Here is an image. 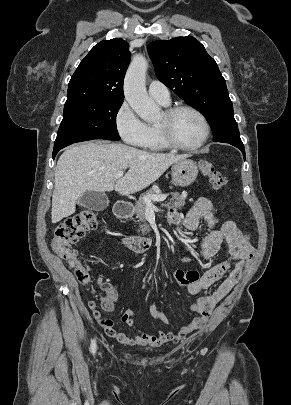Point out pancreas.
<instances>
[{
  "instance_id": "cf45deb5",
  "label": "pancreas",
  "mask_w": 291,
  "mask_h": 405,
  "mask_svg": "<svg viewBox=\"0 0 291 405\" xmlns=\"http://www.w3.org/2000/svg\"><path fill=\"white\" fill-rule=\"evenodd\" d=\"M157 193L154 190H149L146 193L142 194V196L139 198L135 205V213H136V218L143 224L140 226V230L143 234H146L147 232L150 231L149 225L146 223L145 219V210H146V204L144 202V198L146 196L150 195H156ZM185 199L186 195H180L179 193H173V196L170 200V203L172 202L173 206L176 208L181 209L184 204H185ZM169 203V204H170Z\"/></svg>"
}]
</instances>
